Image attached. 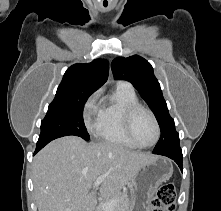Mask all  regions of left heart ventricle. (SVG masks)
<instances>
[{
    "label": "left heart ventricle",
    "instance_id": "obj_1",
    "mask_svg": "<svg viewBox=\"0 0 221 211\" xmlns=\"http://www.w3.org/2000/svg\"><path fill=\"white\" fill-rule=\"evenodd\" d=\"M136 139L143 145L151 144L156 137V129L150 115L145 111L136 114L133 123Z\"/></svg>",
    "mask_w": 221,
    "mask_h": 211
}]
</instances>
